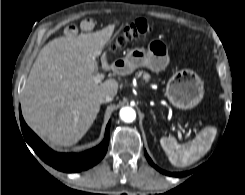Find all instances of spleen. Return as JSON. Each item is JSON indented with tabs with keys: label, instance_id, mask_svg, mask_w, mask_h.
Returning a JSON list of instances; mask_svg holds the SVG:
<instances>
[{
	"label": "spleen",
	"instance_id": "spleen-1",
	"mask_svg": "<svg viewBox=\"0 0 245 195\" xmlns=\"http://www.w3.org/2000/svg\"><path fill=\"white\" fill-rule=\"evenodd\" d=\"M215 135L216 129L207 127L186 145H179L174 137H162L160 143L170 162L174 166L184 167L196 162L210 149Z\"/></svg>",
	"mask_w": 245,
	"mask_h": 195
}]
</instances>
